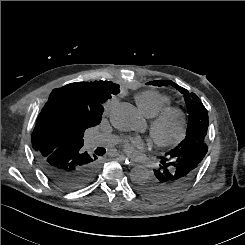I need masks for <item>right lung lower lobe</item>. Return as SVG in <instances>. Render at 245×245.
I'll use <instances>...</instances> for the list:
<instances>
[{
  "mask_svg": "<svg viewBox=\"0 0 245 245\" xmlns=\"http://www.w3.org/2000/svg\"><path fill=\"white\" fill-rule=\"evenodd\" d=\"M83 145H66L52 152L37 154L41 170L57 187L75 191L86 187L96 177L99 163L95 155H89Z\"/></svg>",
  "mask_w": 245,
  "mask_h": 245,
  "instance_id": "right-lung-lower-lobe-1",
  "label": "right lung lower lobe"
}]
</instances>
